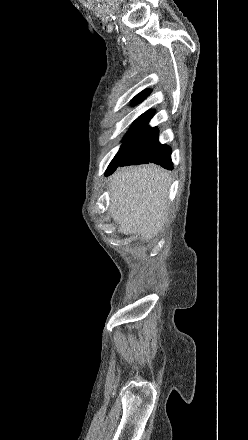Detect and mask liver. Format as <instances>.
Wrapping results in <instances>:
<instances>
[{
  "label": "liver",
  "mask_w": 248,
  "mask_h": 440,
  "mask_svg": "<svg viewBox=\"0 0 248 440\" xmlns=\"http://www.w3.org/2000/svg\"><path fill=\"white\" fill-rule=\"evenodd\" d=\"M169 174L155 165L128 167L117 172L110 183L109 212L125 235L155 237L168 216Z\"/></svg>",
  "instance_id": "obj_1"
}]
</instances>
